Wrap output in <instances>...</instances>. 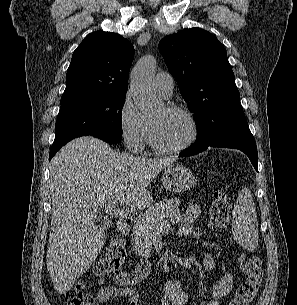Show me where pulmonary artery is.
<instances>
[{
	"instance_id": "pulmonary-artery-1",
	"label": "pulmonary artery",
	"mask_w": 297,
	"mask_h": 305,
	"mask_svg": "<svg viewBox=\"0 0 297 305\" xmlns=\"http://www.w3.org/2000/svg\"><path fill=\"white\" fill-rule=\"evenodd\" d=\"M154 85L160 95L165 98H168L172 94L174 88V81L169 73L159 72L155 76Z\"/></svg>"
}]
</instances>
